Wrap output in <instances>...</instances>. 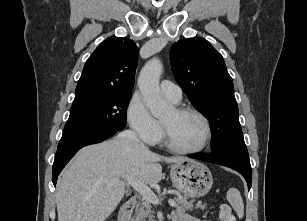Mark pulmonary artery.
Returning a JSON list of instances; mask_svg holds the SVG:
<instances>
[{
    "instance_id": "obj_1",
    "label": "pulmonary artery",
    "mask_w": 307,
    "mask_h": 221,
    "mask_svg": "<svg viewBox=\"0 0 307 221\" xmlns=\"http://www.w3.org/2000/svg\"><path fill=\"white\" fill-rule=\"evenodd\" d=\"M160 92L164 97L175 103L179 102L182 98L181 88L169 80H163L160 83Z\"/></svg>"
}]
</instances>
